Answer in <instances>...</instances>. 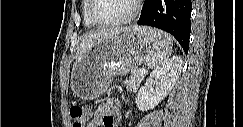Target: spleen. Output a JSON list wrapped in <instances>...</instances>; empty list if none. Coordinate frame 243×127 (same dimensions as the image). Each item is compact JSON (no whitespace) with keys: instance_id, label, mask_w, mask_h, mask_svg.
Segmentation results:
<instances>
[{"instance_id":"1","label":"spleen","mask_w":243,"mask_h":127,"mask_svg":"<svg viewBox=\"0 0 243 127\" xmlns=\"http://www.w3.org/2000/svg\"><path fill=\"white\" fill-rule=\"evenodd\" d=\"M144 33L152 43L146 63L149 68L156 70L169 60L172 52V40L167 33L160 30L148 29Z\"/></svg>"}]
</instances>
